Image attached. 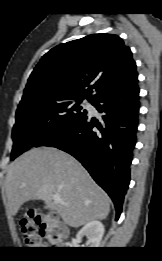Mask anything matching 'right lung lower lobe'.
I'll return each mask as SVG.
<instances>
[{
    "instance_id": "1",
    "label": "right lung lower lobe",
    "mask_w": 162,
    "mask_h": 261,
    "mask_svg": "<svg viewBox=\"0 0 162 261\" xmlns=\"http://www.w3.org/2000/svg\"><path fill=\"white\" fill-rule=\"evenodd\" d=\"M93 101V106L104 113L102 121L86 115L49 134L34 146L55 147L79 160L111 197L117 220L130 183V164L138 126L139 88L136 85Z\"/></svg>"
}]
</instances>
